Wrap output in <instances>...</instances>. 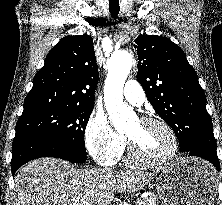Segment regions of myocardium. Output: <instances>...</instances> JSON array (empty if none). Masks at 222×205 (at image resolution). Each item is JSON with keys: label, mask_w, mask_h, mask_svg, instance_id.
<instances>
[{"label": "myocardium", "mask_w": 222, "mask_h": 205, "mask_svg": "<svg viewBox=\"0 0 222 205\" xmlns=\"http://www.w3.org/2000/svg\"><path fill=\"white\" fill-rule=\"evenodd\" d=\"M139 121L141 123L157 124L163 127L168 133V135L170 136L171 149L165 156L159 159H147V158L142 157L138 153L137 148L134 142L132 141V139L126 136L129 158L137 164H140L143 166H149V167H161V166L169 164L177 156L178 149H179L178 138L174 129L165 120L158 117H154V116L142 117L139 119Z\"/></svg>", "instance_id": "1"}]
</instances>
